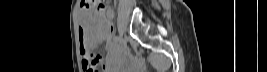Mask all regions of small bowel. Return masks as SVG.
I'll use <instances>...</instances> for the list:
<instances>
[{
	"label": "small bowel",
	"mask_w": 267,
	"mask_h": 72,
	"mask_svg": "<svg viewBox=\"0 0 267 72\" xmlns=\"http://www.w3.org/2000/svg\"><path fill=\"white\" fill-rule=\"evenodd\" d=\"M112 13H113L112 11L109 12V14H108L109 18H111ZM87 22L91 27H93L95 29V38L97 40H103V39L107 40L106 50H107L108 54H112L114 48H113V45L110 41V36L108 35L110 28L108 30H102L100 22L97 19H92V18L88 17ZM87 55H88V52H87L86 48L81 50L82 64L84 66H86V64H87ZM104 69H105V71H109V67L107 65H104Z\"/></svg>",
	"instance_id": "c3829d8e"
}]
</instances>
